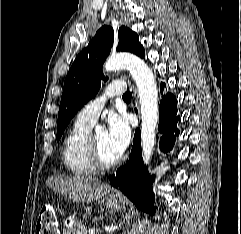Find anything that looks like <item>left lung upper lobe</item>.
<instances>
[{
	"mask_svg": "<svg viewBox=\"0 0 241 234\" xmlns=\"http://www.w3.org/2000/svg\"><path fill=\"white\" fill-rule=\"evenodd\" d=\"M118 38V51L131 52L144 58L145 50L135 32L122 26ZM113 40V29L103 26L73 62L64 82L59 106L57 141L77 111L97 94L100 79L107 80L102 74V66L111 51Z\"/></svg>",
	"mask_w": 241,
	"mask_h": 234,
	"instance_id": "1",
	"label": "left lung upper lobe"
}]
</instances>
